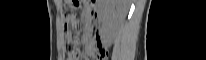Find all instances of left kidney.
Returning a JSON list of instances; mask_svg holds the SVG:
<instances>
[{
	"label": "left kidney",
	"instance_id": "5707ae66",
	"mask_svg": "<svg viewBox=\"0 0 206 60\" xmlns=\"http://www.w3.org/2000/svg\"><path fill=\"white\" fill-rule=\"evenodd\" d=\"M128 12L127 0H99V32L106 43H110L115 30Z\"/></svg>",
	"mask_w": 206,
	"mask_h": 60
}]
</instances>
